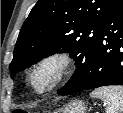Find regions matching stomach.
Returning a JSON list of instances; mask_svg holds the SVG:
<instances>
[{
	"label": "stomach",
	"mask_w": 123,
	"mask_h": 113,
	"mask_svg": "<svg viewBox=\"0 0 123 113\" xmlns=\"http://www.w3.org/2000/svg\"><path fill=\"white\" fill-rule=\"evenodd\" d=\"M86 106L81 100H74L66 104L62 109L56 111V113H85Z\"/></svg>",
	"instance_id": "0dacf381"
}]
</instances>
